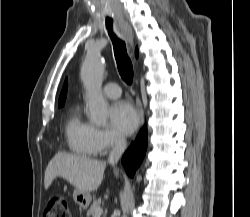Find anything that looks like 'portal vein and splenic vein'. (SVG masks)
Here are the masks:
<instances>
[{
    "label": "portal vein and splenic vein",
    "mask_w": 250,
    "mask_h": 217,
    "mask_svg": "<svg viewBox=\"0 0 250 217\" xmlns=\"http://www.w3.org/2000/svg\"><path fill=\"white\" fill-rule=\"evenodd\" d=\"M103 214V209L101 207L96 209L94 217H100Z\"/></svg>",
    "instance_id": "portal-vein-and-splenic-vein-1"
}]
</instances>
